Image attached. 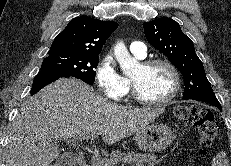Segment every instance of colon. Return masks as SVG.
Returning <instances> with one entry per match:
<instances>
[{
  "label": "colon",
  "instance_id": "5ec220e1",
  "mask_svg": "<svg viewBox=\"0 0 231 166\" xmlns=\"http://www.w3.org/2000/svg\"><path fill=\"white\" fill-rule=\"evenodd\" d=\"M175 115L186 125L197 129L200 152L206 154L218 135V124L211 111L199 105H178ZM54 166H62V163Z\"/></svg>",
  "mask_w": 231,
  "mask_h": 166
}]
</instances>
